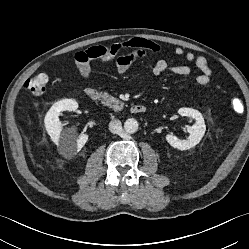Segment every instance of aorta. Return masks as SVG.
I'll return each instance as SVG.
<instances>
[{"instance_id": "obj_1", "label": "aorta", "mask_w": 249, "mask_h": 249, "mask_svg": "<svg viewBox=\"0 0 249 249\" xmlns=\"http://www.w3.org/2000/svg\"><path fill=\"white\" fill-rule=\"evenodd\" d=\"M138 121L134 118H129L124 123V130L129 133L133 134L138 130Z\"/></svg>"}]
</instances>
